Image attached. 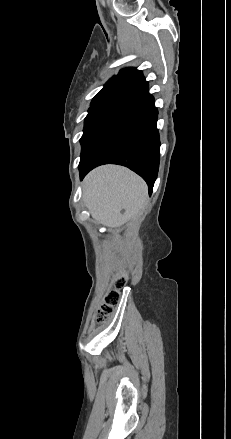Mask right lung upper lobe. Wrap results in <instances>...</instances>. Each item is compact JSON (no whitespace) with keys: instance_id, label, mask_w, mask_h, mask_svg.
<instances>
[{"instance_id":"cb5924a9","label":"right lung upper lobe","mask_w":231,"mask_h":439,"mask_svg":"<svg viewBox=\"0 0 231 439\" xmlns=\"http://www.w3.org/2000/svg\"><path fill=\"white\" fill-rule=\"evenodd\" d=\"M147 89L148 83L141 71L136 68H125L104 85L92 102L113 97H136Z\"/></svg>"}]
</instances>
